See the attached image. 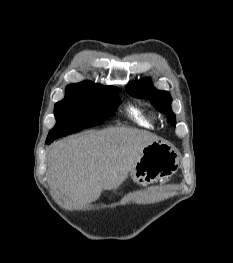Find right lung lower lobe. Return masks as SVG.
Listing matches in <instances>:
<instances>
[{"mask_svg": "<svg viewBox=\"0 0 233 263\" xmlns=\"http://www.w3.org/2000/svg\"><path fill=\"white\" fill-rule=\"evenodd\" d=\"M52 141H46L47 144H50Z\"/></svg>", "mask_w": 233, "mask_h": 263, "instance_id": "98d812e1", "label": "right lung lower lobe"}]
</instances>
